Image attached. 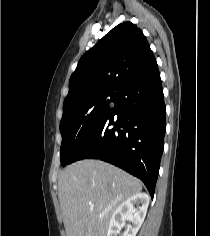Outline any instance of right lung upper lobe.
Instances as JSON below:
<instances>
[{"label":"right lung upper lobe","instance_id":"cb5924a9","mask_svg":"<svg viewBox=\"0 0 210 236\" xmlns=\"http://www.w3.org/2000/svg\"><path fill=\"white\" fill-rule=\"evenodd\" d=\"M157 67L142 31L131 22L114 27L78 62L69 81L63 112L104 93H117L125 84Z\"/></svg>","mask_w":210,"mask_h":236}]
</instances>
